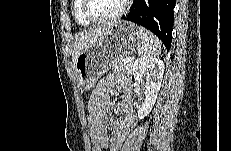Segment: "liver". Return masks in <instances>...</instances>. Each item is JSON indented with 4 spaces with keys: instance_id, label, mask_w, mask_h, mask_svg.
I'll use <instances>...</instances> for the list:
<instances>
[{
    "instance_id": "6515ba94",
    "label": "liver",
    "mask_w": 231,
    "mask_h": 151,
    "mask_svg": "<svg viewBox=\"0 0 231 151\" xmlns=\"http://www.w3.org/2000/svg\"><path fill=\"white\" fill-rule=\"evenodd\" d=\"M115 22L103 24L96 28L83 30L75 35V42L72 50V62L75 66L77 57L83 52L89 50L100 44L102 40L108 35L111 27Z\"/></svg>"
}]
</instances>
